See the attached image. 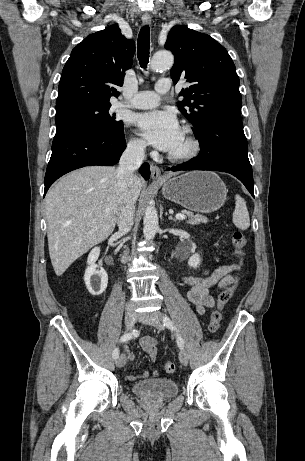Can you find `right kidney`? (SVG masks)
Here are the masks:
<instances>
[{"label":"right kidney","mask_w":305,"mask_h":461,"mask_svg":"<svg viewBox=\"0 0 305 461\" xmlns=\"http://www.w3.org/2000/svg\"><path fill=\"white\" fill-rule=\"evenodd\" d=\"M100 255V248L95 247L91 250L88 255L87 264L88 267L85 270L84 282L89 291L93 296L102 294L108 284L107 272L103 269H97L95 262Z\"/></svg>","instance_id":"ca27d5eb"}]
</instances>
